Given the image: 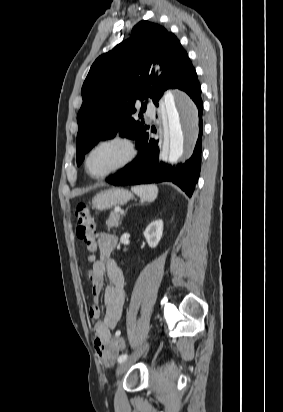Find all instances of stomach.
<instances>
[{"instance_id": "1", "label": "stomach", "mask_w": 283, "mask_h": 412, "mask_svg": "<svg viewBox=\"0 0 283 412\" xmlns=\"http://www.w3.org/2000/svg\"><path fill=\"white\" fill-rule=\"evenodd\" d=\"M132 198V194L122 188H112L101 191L92 199V205L99 211H104L112 208L115 205L127 203Z\"/></svg>"}]
</instances>
